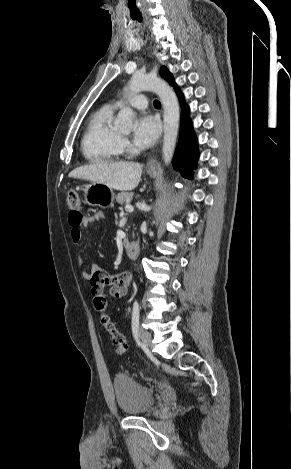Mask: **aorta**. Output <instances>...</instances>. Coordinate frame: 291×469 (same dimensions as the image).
Wrapping results in <instances>:
<instances>
[{
  "label": "aorta",
  "instance_id": "obj_1",
  "mask_svg": "<svg viewBox=\"0 0 291 469\" xmlns=\"http://www.w3.org/2000/svg\"><path fill=\"white\" fill-rule=\"evenodd\" d=\"M143 90L155 92L161 99L164 108V136L163 160L168 165L174 154L179 129V104L173 89L163 80L152 75L134 74L128 84V93ZM134 112L130 107H124L118 113L114 125L123 131H130L133 124Z\"/></svg>",
  "mask_w": 291,
  "mask_h": 469
}]
</instances>
